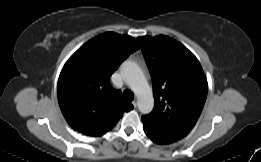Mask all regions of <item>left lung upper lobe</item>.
Segmentation results:
<instances>
[{"label": "left lung upper lobe", "mask_w": 261, "mask_h": 162, "mask_svg": "<svg viewBox=\"0 0 261 162\" xmlns=\"http://www.w3.org/2000/svg\"><path fill=\"white\" fill-rule=\"evenodd\" d=\"M152 81L154 109L143 123L158 133L182 139L195 126L207 97L208 84L197 58L181 43L159 35L137 38Z\"/></svg>", "instance_id": "1"}]
</instances>
